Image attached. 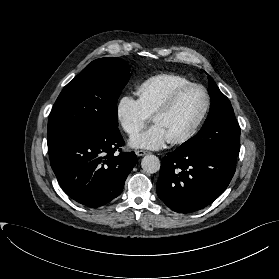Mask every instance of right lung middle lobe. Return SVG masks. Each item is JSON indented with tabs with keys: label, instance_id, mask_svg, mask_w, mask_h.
I'll list each match as a JSON object with an SVG mask.
<instances>
[{
	"label": "right lung middle lobe",
	"instance_id": "right-lung-middle-lobe-1",
	"mask_svg": "<svg viewBox=\"0 0 279 279\" xmlns=\"http://www.w3.org/2000/svg\"><path fill=\"white\" fill-rule=\"evenodd\" d=\"M129 64L119 58L92 61L57 98L48 122V147L86 134L118 130L117 99L127 84Z\"/></svg>",
	"mask_w": 279,
	"mask_h": 279
}]
</instances>
